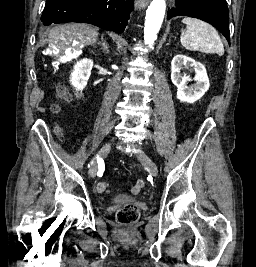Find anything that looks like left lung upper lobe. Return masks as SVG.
I'll return each instance as SVG.
<instances>
[{
    "instance_id": "left-lung-upper-lobe-1",
    "label": "left lung upper lobe",
    "mask_w": 256,
    "mask_h": 267,
    "mask_svg": "<svg viewBox=\"0 0 256 267\" xmlns=\"http://www.w3.org/2000/svg\"><path fill=\"white\" fill-rule=\"evenodd\" d=\"M177 6L168 11L167 19L189 16L212 24L230 44L229 13L226 0H176Z\"/></svg>"
}]
</instances>
